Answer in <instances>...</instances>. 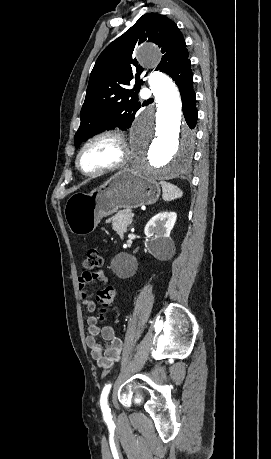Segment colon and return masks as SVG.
<instances>
[{
  "label": "colon",
  "instance_id": "5ec220e1",
  "mask_svg": "<svg viewBox=\"0 0 271 459\" xmlns=\"http://www.w3.org/2000/svg\"><path fill=\"white\" fill-rule=\"evenodd\" d=\"M102 266V257L99 251L95 248L87 250L86 257L83 261V268L86 271H94ZM114 299V292L110 288H106L97 292L96 301L100 307V311L105 312L112 304ZM100 319L103 314H100Z\"/></svg>",
  "mask_w": 271,
  "mask_h": 459
}]
</instances>
